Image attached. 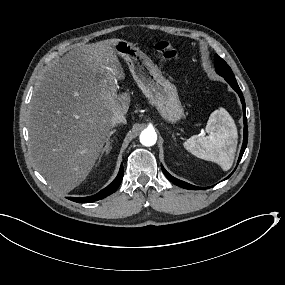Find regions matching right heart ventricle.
Masks as SVG:
<instances>
[{
	"label": "right heart ventricle",
	"instance_id": "1",
	"mask_svg": "<svg viewBox=\"0 0 285 285\" xmlns=\"http://www.w3.org/2000/svg\"><path fill=\"white\" fill-rule=\"evenodd\" d=\"M165 93H169V91L166 90Z\"/></svg>",
	"mask_w": 285,
	"mask_h": 285
}]
</instances>
